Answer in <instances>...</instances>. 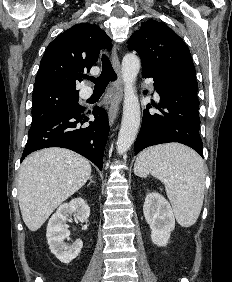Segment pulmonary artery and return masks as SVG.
Segmentation results:
<instances>
[{
    "label": "pulmonary artery",
    "mask_w": 232,
    "mask_h": 282,
    "mask_svg": "<svg viewBox=\"0 0 232 282\" xmlns=\"http://www.w3.org/2000/svg\"><path fill=\"white\" fill-rule=\"evenodd\" d=\"M91 93H92V92H91V89H90V88H85V89L82 91L81 96H82V98H88V97L91 96ZM155 95L158 96L156 92H155Z\"/></svg>",
    "instance_id": "e3ab8cb5"
}]
</instances>
